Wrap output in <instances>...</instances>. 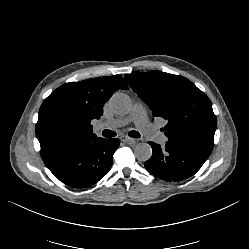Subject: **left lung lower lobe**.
Here are the masks:
<instances>
[{
    "instance_id": "obj_1",
    "label": "left lung lower lobe",
    "mask_w": 249,
    "mask_h": 249,
    "mask_svg": "<svg viewBox=\"0 0 249 249\" xmlns=\"http://www.w3.org/2000/svg\"><path fill=\"white\" fill-rule=\"evenodd\" d=\"M153 154L144 163L152 175L165 181H181L194 175L212 150L190 144L167 141L165 146L149 142Z\"/></svg>"
}]
</instances>
